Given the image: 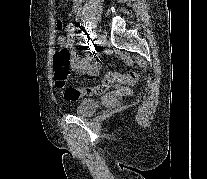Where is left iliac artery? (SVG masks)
Here are the masks:
<instances>
[{"instance_id":"1","label":"left iliac artery","mask_w":207,"mask_h":179,"mask_svg":"<svg viewBox=\"0 0 207 179\" xmlns=\"http://www.w3.org/2000/svg\"><path fill=\"white\" fill-rule=\"evenodd\" d=\"M99 40H100V37L97 35V32H94V34H93V45L97 46Z\"/></svg>"}]
</instances>
